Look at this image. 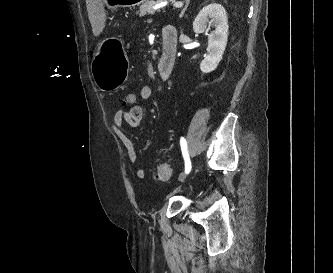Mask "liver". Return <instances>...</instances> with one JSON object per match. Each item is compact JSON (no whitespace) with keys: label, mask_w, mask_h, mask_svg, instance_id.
<instances>
[{"label":"liver","mask_w":333,"mask_h":273,"mask_svg":"<svg viewBox=\"0 0 333 273\" xmlns=\"http://www.w3.org/2000/svg\"><path fill=\"white\" fill-rule=\"evenodd\" d=\"M105 2L106 0H86L89 20L95 36H98L105 27Z\"/></svg>","instance_id":"1"}]
</instances>
